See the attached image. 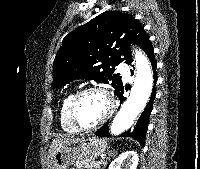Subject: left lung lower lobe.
<instances>
[{
  "instance_id": "1",
  "label": "left lung lower lobe",
  "mask_w": 200,
  "mask_h": 169,
  "mask_svg": "<svg viewBox=\"0 0 200 169\" xmlns=\"http://www.w3.org/2000/svg\"><path fill=\"white\" fill-rule=\"evenodd\" d=\"M145 52L148 55L149 60L152 65V68H153L154 84H155L157 81V75H156L157 63L154 60V49L151 44L147 47ZM123 92H124L123 86H121V88L116 92V95L119 97L121 102L125 100V98L123 97ZM155 95H156V89L154 86L153 91H152V96L150 97V100H149L146 108L144 109L143 113L141 114L139 120L137 121L136 126L134 127V129H132V130L129 129L128 131L124 132L122 134V137H132L135 140H137L142 146H144L146 131H147L148 123H149L148 119H149V116H150L152 108H153V100L155 98ZM95 134L98 136H104V137L109 136L110 134L108 131V123H106L99 130H97L95 132Z\"/></svg>"
}]
</instances>
